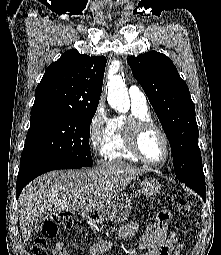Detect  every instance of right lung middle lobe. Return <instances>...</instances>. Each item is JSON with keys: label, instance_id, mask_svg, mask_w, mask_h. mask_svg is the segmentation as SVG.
Returning a JSON list of instances; mask_svg holds the SVG:
<instances>
[{"label": "right lung middle lobe", "instance_id": "obj_1", "mask_svg": "<svg viewBox=\"0 0 221 255\" xmlns=\"http://www.w3.org/2000/svg\"><path fill=\"white\" fill-rule=\"evenodd\" d=\"M96 110L31 113L20 164L27 160L92 166L90 124Z\"/></svg>", "mask_w": 221, "mask_h": 255}]
</instances>
